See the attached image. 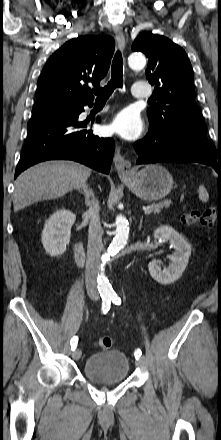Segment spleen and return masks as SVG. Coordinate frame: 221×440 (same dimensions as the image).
I'll return each mask as SVG.
<instances>
[{"mask_svg":"<svg viewBox=\"0 0 221 440\" xmlns=\"http://www.w3.org/2000/svg\"><path fill=\"white\" fill-rule=\"evenodd\" d=\"M199 199L202 202H207L209 200V194L204 185H200L198 188Z\"/></svg>","mask_w":221,"mask_h":440,"instance_id":"obj_1","label":"spleen"}]
</instances>
